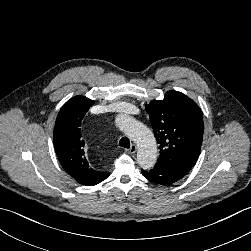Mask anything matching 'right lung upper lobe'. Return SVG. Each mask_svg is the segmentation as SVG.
<instances>
[{"label":"right lung upper lobe","instance_id":"obj_1","mask_svg":"<svg viewBox=\"0 0 251 251\" xmlns=\"http://www.w3.org/2000/svg\"><path fill=\"white\" fill-rule=\"evenodd\" d=\"M94 101L85 96L68 100L59 111L53 139L63 169L78 183L93 186L105 180L109 173L94 170L87 161L81 122Z\"/></svg>","mask_w":251,"mask_h":251}]
</instances>
